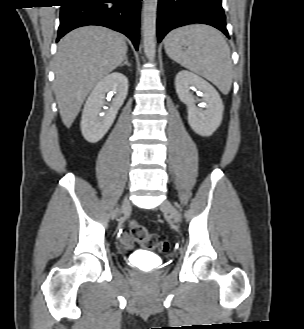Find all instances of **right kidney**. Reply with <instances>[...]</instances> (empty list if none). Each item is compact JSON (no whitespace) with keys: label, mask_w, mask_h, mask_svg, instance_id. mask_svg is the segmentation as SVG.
<instances>
[{"label":"right kidney","mask_w":304,"mask_h":329,"mask_svg":"<svg viewBox=\"0 0 304 329\" xmlns=\"http://www.w3.org/2000/svg\"><path fill=\"white\" fill-rule=\"evenodd\" d=\"M106 94L114 95L110 108L102 113ZM128 94V79L120 72H113L102 79L88 97L80 123L82 135L90 143L103 138L113 124L118 110Z\"/></svg>","instance_id":"ca27d5eb"}]
</instances>
